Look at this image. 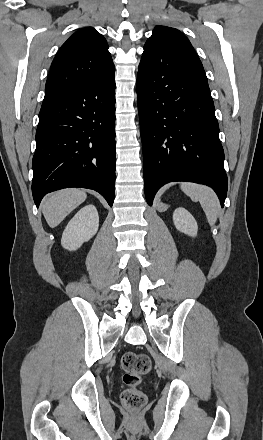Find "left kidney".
Here are the masks:
<instances>
[{
    "label": "left kidney",
    "mask_w": 263,
    "mask_h": 440,
    "mask_svg": "<svg viewBox=\"0 0 263 440\" xmlns=\"http://www.w3.org/2000/svg\"><path fill=\"white\" fill-rule=\"evenodd\" d=\"M173 222L178 231L191 237L197 235V222L185 208L179 207L175 209L173 213Z\"/></svg>",
    "instance_id": "obj_1"
}]
</instances>
